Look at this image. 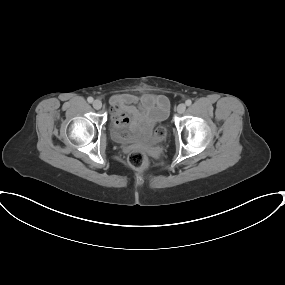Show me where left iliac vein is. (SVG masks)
I'll list each match as a JSON object with an SVG mask.
<instances>
[{
	"instance_id": "4c4485c4",
	"label": "left iliac vein",
	"mask_w": 285,
	"mask_h": 285,
	"mask_svg": "<svg viewBox=\"0 0 285 285\" xmlns=\"http://www.w3.org/2000/svg\"><path fill=\"white\" fill-rule=\"evenodd\" d=\"M185 110H186L185 104L181 103V104H179V105L177 106V112H178L179 114L184 113Z\"/></svg>"
}]
</instances>
